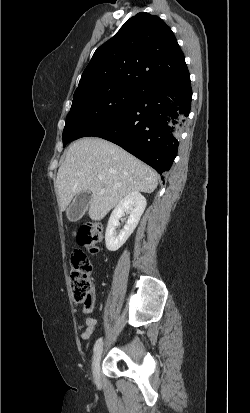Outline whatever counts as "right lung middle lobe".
I'll return each mask as SVG.
<instances>
[{"label": "right lung middle lobe", "instance_id": "obj_1", "mask_svg": "<svg viewBox=\"0 0 250 413\" xmlns=\"http://www.w3.org/2000/svg\"><path fill=\"white\" fill-rule=\"evenodd\" d=\"M141 91L126 86L85 89L74 93L63 131V146L105 124L122 112Z\"/></svg>", "mask_w": 250, "mask_h": 413}]
</instances>
